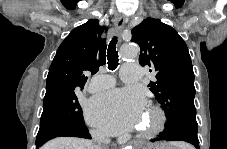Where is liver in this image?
Instances as JSON below:
<instances>
[{
	"instance_id": "6515ba94",
	"label": "liver",
	"mask_w": 227,
	"mask_h": 149,
	"mask_svg": "<svg viewBox=\"0 0 227 149\" xmlns=\"http://www.w3.org/2000/svg\"><path fill=\"white\" fill-rule=\"evenodd\" d=\"M172 148V146H167ZM41 149H100L99 146L95 145L92 141L73 138V137H58L55 138Z\"/></svg>"
}]
</instances>
